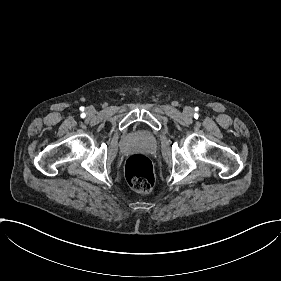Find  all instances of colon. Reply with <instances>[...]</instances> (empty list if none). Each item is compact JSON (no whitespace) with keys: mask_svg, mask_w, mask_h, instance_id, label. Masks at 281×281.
Returning a JSON list of instances; mask_svg holds the SVG:
<instances>
[{"mask_svg":"<svg viewBox=\"0 0 281 281\" xmlns=\"http://www.w3.org/2000/svg\"><path fill=\"white\" fill-rule=\"evenodd\" d=\"M125 177L129 186L136 191L151 190L155 184L152 163L144 155H130L125 162Z\"/></svg>","mask_w":281,"mask_h":281,"instance_id":"5ec220e1","label":"colon"}]
</instances>
